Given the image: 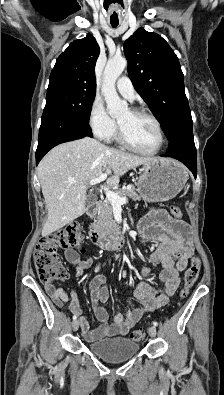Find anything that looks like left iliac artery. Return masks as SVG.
<instances>
[{
  "instance_id": "left-iliac-artery-1",
  "label": "left iliac artery",
  "mask_w": 224,
  "mask_h": 395,
  "mask_svg": "<svg viewBox=\"0 0 224 395\" xmlns=\"http://www.w3.org/2000/svg\"><path fill=\"white\" fill-rule=\"evenodd\" d=\"M153 325L156 327L158 326V323L156 321H153Z\"/></svg>"
}]
</instances>
